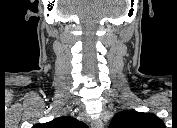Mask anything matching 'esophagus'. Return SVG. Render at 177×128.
Here are the masks:
<instances>
[{
	"instance_id": "obj_1",
	"label": "esophagus",
	"mask_w": 177,
	"mask_h": 128,
	"mask_svg": "<svg viewBox=\"0 0 177 128\" xmlns=\"http://www.w3.org/2000/svg\"><path fill=\"white\" fill-rule=\"evenodd\" d=\"M91 128H104L101 120H94L91 123Z\"/></svg>"
}]
</instances>
